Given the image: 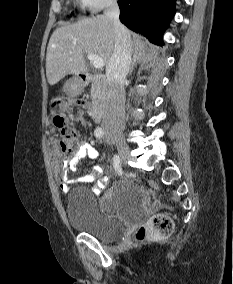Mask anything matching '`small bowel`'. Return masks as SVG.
Returning <instances> with one entry per match:
<instances>
[{"label":"small bowel","mask_w":233,"mask_h":284,"mask_svg":"<svg viewBox=\"0 0 233 284\" xmlns=\"http://www.w3.org/2000/svg\"><path fill=\"white\" fill-rule=\"evenodd\" d=\"M89 158L91 160L98 159V152L95 147L85 140H81L78 145V150L76 154L69 159H66L62 162L58 180L59 186L62 191L67 192L70 189L71 180L69 178V173L75 170V166L78 160L83 158ZM102 170L99 166H94L90 171L84 175L80 181L85 183H90L97 180L101 176ZM107 179L103 178L94 188L95 192H100L106 185Z\"/></svg>","instance_id":"obj_1"}]
</instances>
